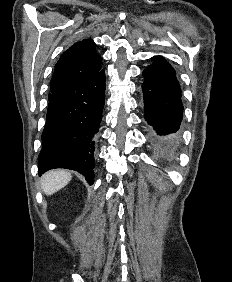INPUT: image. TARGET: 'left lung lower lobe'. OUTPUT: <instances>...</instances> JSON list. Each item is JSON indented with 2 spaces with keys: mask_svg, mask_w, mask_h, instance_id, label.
Returning <instances> with one entry per match:
<instances>
[{
  "mask_svg": "<svg viewBox=\"0 0 232 282\" xmlns=\"http://www.w3.org/2000/svg\"><path fill=\"white\" fill-rule=\"evenodd\" d=\"M145 119L151 127V143L167 148L178 143L183 117L181 89L173 67L160 56L143 71Z\"/></svg>",
  "mask_w": 232,
  "mask_h": 282,
  "instance_id": "1",
  "label": "left lung lower lobe"
}]
</instances>
